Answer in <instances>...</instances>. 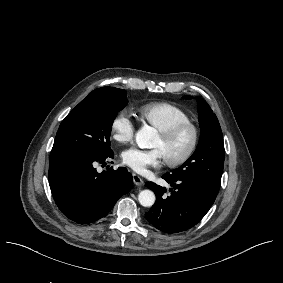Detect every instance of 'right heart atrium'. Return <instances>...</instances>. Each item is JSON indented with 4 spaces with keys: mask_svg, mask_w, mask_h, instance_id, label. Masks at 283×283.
<instances>
[{
    "mask_svg": "<svg viewBox=\"0 0 283 283\" xmlns=\"http://www.w3.org/2000/svg\"><path fill=\"white\" fill-rule=\"evenodd\" d=\"M109 133L114 142L126 144L134 138L135 125L126 113L120 112L112 118Z\"/></svg>",
    "mask_w": 283,
    "mask_h": 283,
    "instance_id": "1",
    "label": "right heart atrium"
}]
</instances>
